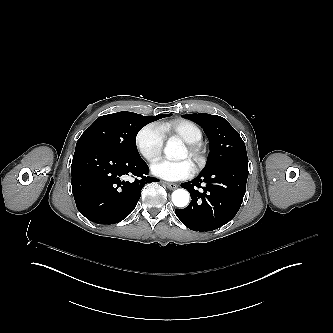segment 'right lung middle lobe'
I'll return each instance as SVG.
<instances>
[{"label":"right lung middle lobe","instance_id":"obj_1","mask_svg":"<svg viewBox=\"0 0 333 333\" xmlns=\"http://www.w3.org/2000/svg\"><path fill=\"white\" fill-rule=\"evenodd\" d=\"M170 115L151 117L126 111L103 115L84 131L76 145L95 143L118 156L138 159L140 155L135 140L139 130L152 121Z\"/></svg>","mask_w":333,"mask_h":333}]
</instances>
